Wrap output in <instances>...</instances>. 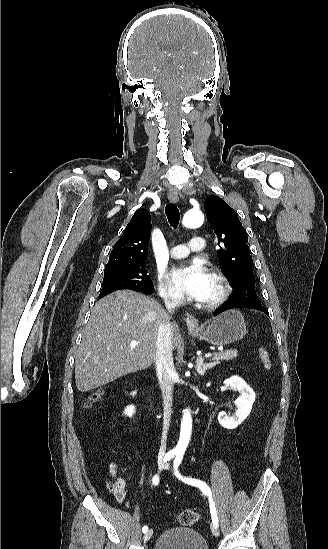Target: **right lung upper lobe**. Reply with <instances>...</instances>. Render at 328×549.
I'll use <instances>...</instances> for the list:
<instances>
[{
    "mask_svg": "<svg viewBox=\"0 0 328 549\" xmlns=\"http://www.w3.org/2000/svg\"><path fill=\"white\" fill-rule=\"evenodd\" d=\"M150 235V213L145 209H139L114 245L105 271L146 262Z\"/></svg>",
    "mask_w": 328,
    "mask_h": 549,
    "instance_id": "obj_1",
    "label": "right lung upper lobe"
}]
</instances>
